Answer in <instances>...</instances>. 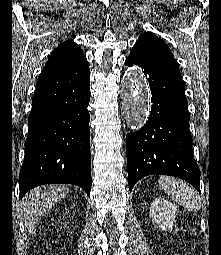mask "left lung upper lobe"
<instances>
[{"mask_svg": "<svg viewBox=\"0 0 221 255\" xmlns=\"http://www.w3.org/2000/svg\"><path fill=\"white\" fill-rule=\"evenodd\" d=\"M133 48L143 51L145 54L158 60L161 64L168 67L175 74L181 77L177 63L169 47L155 34L151 32L142 34Z\"/></svg>", "mask_w": 221, "mask_h": 255, "instance_id": "obj_1", "label": "left lung upper lobe"}]
</instances>
